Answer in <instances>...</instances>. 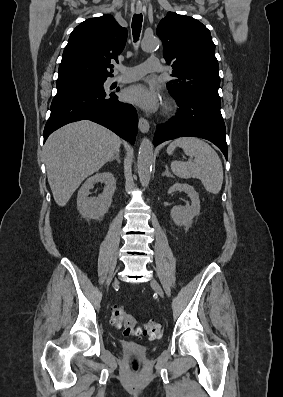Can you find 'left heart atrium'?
Returning a JSON list of instances; mask_svg holds the SVG:
<instances>
[{
    "mask_svg": "<svg viewBox=\"0 0 283 397\" xmlns=\"http://www.w3.org/2000/svg\"><path fill=\"white\" fill-rule=\"evenodd\" d=\"M124 101L145 111L154 112L159 107V98L154 89L144 84H134L126 88L122 95Z\"/></svg>",
    "mask_w": 283,
    "mask_h": 397,
    "instance_id": "obj_1",
    "label": "left heart atrium"
}]
</instances>
